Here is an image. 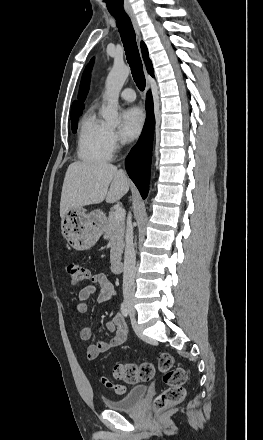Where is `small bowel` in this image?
<instances>
[{
    "instance_id": "1",
    "label": "small bowel",
    "mask_w": 263,
    "mask_h": 440,
    "mask_svg": "<svg viewBox=\"0 0 263 440\" xmlns=\"http://www.w3.org/2000/svg\"><path fill=\"white\" fill-rule=\"evenodd\" d=\"M94 294L98 295V301L102 303L111 301L115 297L114 286L106 274L91 275L90 283L79 291L76 304L79 313L84 314L88 311L87 301ZM106 329L112 333L111 339L99 340L88 345L85 354L89 360H95L100 354L120 346L126 340L127 328L122 314L115 313L107 322ZM79 336L82 341H88L92 336V329L88 326H82Z\"/></svg>"
}]
</instances>
